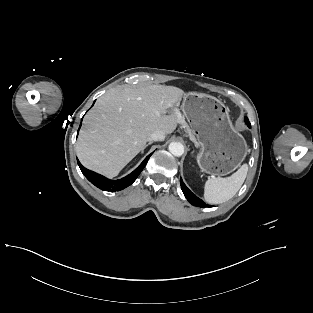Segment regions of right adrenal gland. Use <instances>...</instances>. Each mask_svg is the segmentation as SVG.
I'll list each match as a JSON object with an SVG mask.
<instances>
[{
	"instance_id": "2a0ac1e0",
	"label": "right adrenal gland",
	"mask_w": 313,
	"mask_h": 313,
	"mask_svg": "<svg viewBox=\"0 0 313 313\" xmlns=\"http://www.w3.org/2000/svg\"><path fill=\"white\" fill-rule=\"evenodd\" d=\"M151 144H152V142L147 143V144L144 146V148L141 150V153H143L144 150H145V148L148 147V146L151 145Z\"/></svg>"
}]
</instances>
